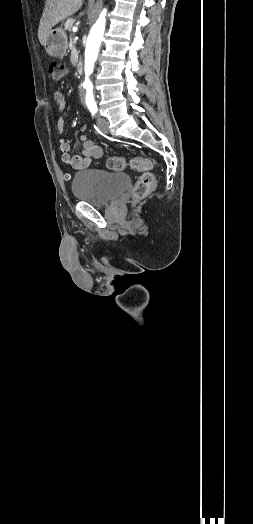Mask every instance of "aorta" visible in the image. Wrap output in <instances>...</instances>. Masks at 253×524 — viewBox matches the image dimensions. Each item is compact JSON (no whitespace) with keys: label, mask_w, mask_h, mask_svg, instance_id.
I'll return each instance as SVG.
<instances>
[{"label":"aorta","mask_w":253,"mask_h":524,"mask_svg":"<svg viewBox=\"0 0 253 524\" xmlns=\"http://www.w3.org/2000/svg\"><path fill=\"white\" fill-rule=\"evenodd\" d=\"M105 16L106 10L104 9L100 14V17L98 18L97 22L92 26L87 38L84 67L85 80L83 82V87L86 90V101H91L94 99L93 84L90 81L89 76L93 73L94 63L97 59L99 47L104 34Z\"/></svg>","instance_id":"762f6f07"}]
</instances>
